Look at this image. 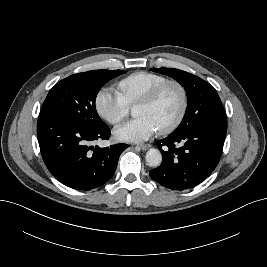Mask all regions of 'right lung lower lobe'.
<instances>
[{
    "instance_id": "1",
    "label": "right lung lower lobe",
    "mask_w": 267,
    "mask_h": 267,
    "mask_svg": "<svg viewBox=\"0 0 267 267\" xmlns=\"http://www.w3.org/2000/svg\"><path fill=\"white\" fill-rule=\"evenodd\" d=\"M110 129L88 128L52 110L42 109L37 122V137L44 163L62 184L77 190L102 186L114 174L127 144L100 148L96 140L109 139Z\"/></svg>"
}]
</instances>
